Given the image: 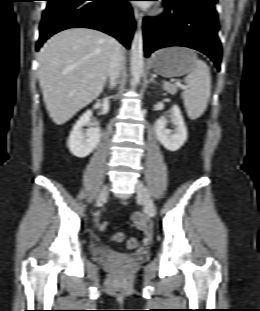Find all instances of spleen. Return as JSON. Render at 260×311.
<instances>
[{"label": "spleen", "instance_id": "spleen-1", "mask_svg": "<svg viewBox=\"0 0 260 311\" xmlns=\"http://www.w3.org/2000/svg\"><path fill=\"white\" fill-rule=\"evenodd\" d=\"M194 64L192 72L184 79L187 89L182 93L187 114L192 120L199 118L204 113L211 93L208 65L200 59H196Z\"/></svg>", "mask_w": 260, "mask_h": 311}]
</instances>
